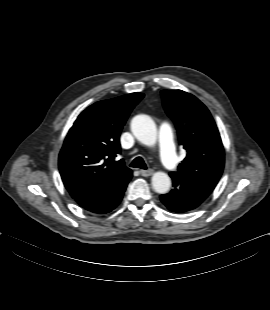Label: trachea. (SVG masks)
<instances>
[{
  "label": "trachea",
  "mask_w": 270,
  "mask_h": 310,
  "mask_svg": "<svg viewBox=\"0 0 270 310\" xmlns=\"http://www.w3.org/2000/svg\"><path fill=\"white\" fill-rule=\"evenodd\" d=\"M131 167L140 168V169H147V165L144 162L142 157H136L130 164Z\"/></svg>",
  "instance_id": "obj_1"
}]
</instances>
